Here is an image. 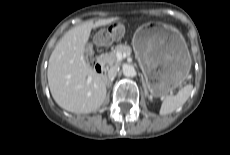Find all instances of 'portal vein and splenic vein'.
Instances as JSON below:
<instances>
[{
	"label": "portal vein and splenic vein",
	"mask_w": 230,
	"mask_h": 155,
	"mask_svg": "<svg viewBox=\"0 0 230 155\" xmlns=\"http://www.w3.org/2000/svg\"><path fill=\"white\" fill-rule=\"evenodd\" d=\"M122 57H126V55L125 54L124 55L120 54V58H122Z\"/></svg>",
	"instance_id": "1"
}]
</instances>
